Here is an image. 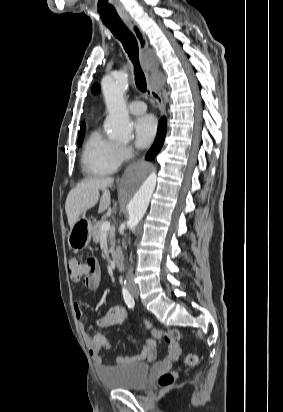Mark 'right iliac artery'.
Listing matches in <instances>:
<instances>
[{"label":"right iliac artery","instance_id":"1","mask_svg":"<svg viewBox=\"0 0 283 412\" xmlns=\"http://www.w3.org/2000/svg\"><path fill=\"white\" fill-rule=\"evenodd\" d=\"M122 293H123V298L125 300V303L127 304V306L129 308H134L135 306V301L134 298L131 296V294L129 293V291L126 288L122 289Z\"/></svg>","mask_w":283,"mask_h":412}]
</instances>
